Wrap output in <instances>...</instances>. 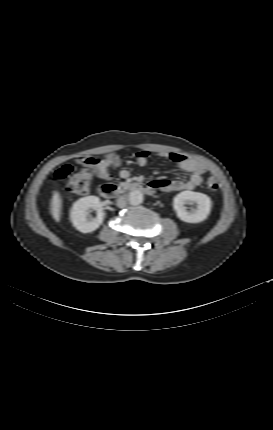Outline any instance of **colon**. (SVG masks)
Listing matches in <instances>:
<instances>
[{
	"instance_id": "colon-1",
	"label": "colon",
	"mask_w": 273,
	"mask_h": 430,
	"mask_svg": "<svg viewBox=\"0 0 273 430\" xmlns=\"http://www.w3.org/2000/svg\"><path fill=\"white\" fill-rule=\"evenodd\" d=\"M80 158H78V163L87 166L86 160ZM54 179L65 183L67 190L76 194H84L89 188L91 174L87 168L77 169L66 164L54 172ZM206 188L211 192L216 191L218 189L217 181L213 177H209L206 181Z\"/></svg>"
}]
</instances>
